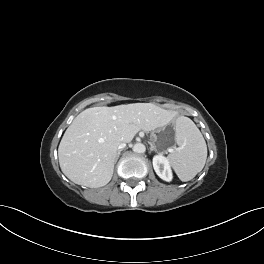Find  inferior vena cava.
Listing matches in <instances>:
<instances>
[{"label": "inferior vena cava", "instance_id": "1", "mask_svg": "<svg viewBox=\"0 0 264 264\" xmlns=\"http://www.w3.org/2000/svg\"><path fill=\"white\" fill-rule=\"evenodd\" d=\"M126 146L125 142L121 141L119 144H118V149H122Z\"/></svg>", "mask_w": 264, "mask_h": 264}]
</instances>
